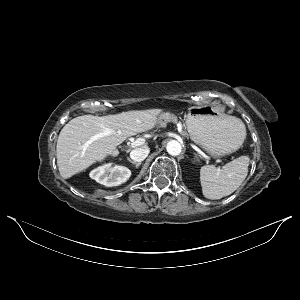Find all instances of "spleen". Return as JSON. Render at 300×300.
<instances>
[{
	"instance_id": "obj_1",
	"label": "spleen",
	"mask_w": 300,
	"mask_h": 300,
	"mask_svg": "<svg viewBox=\"0 0 300 300\" xmlns=\"http://www.w3.org/2000/svg\"><path fill=\"white\" fill-rule=\"evenodd\" d=\"M235 125L246 135L244 123L233 117ZM250 158L241 156L227 163L222 169L205 165L200 169L202 193L208 199H221L232 194L245 180L248 174Z\"/></svg>"
}]
</instances>
